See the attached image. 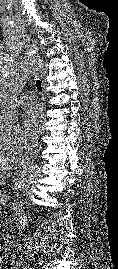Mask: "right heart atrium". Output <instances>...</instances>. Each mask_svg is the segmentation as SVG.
I'll return each mask as SVG.
<instances>
[{
    "label": "right heart atrium",
    "mask_w": 118,
    "mask_h": 269,
    "mask_svg": "<svg viewBox=\"0 0 118 269\" xmlns=\"http://www.w3.org/2000/svg\"><path fill=\"white\" fill-rule=\"evenodd\" d=\"M0 143L4 147L21 149L29 144V138L18 124L4 125L0 121Z\"/></svg>",
    "instance_id": "1"
}]
</instances>
